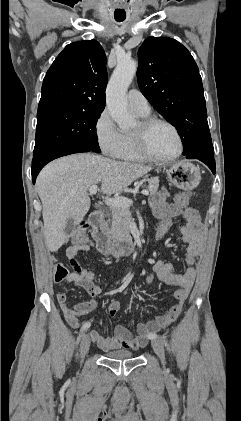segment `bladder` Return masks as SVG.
Returning a JSON list of instances; mask_svg holds the SVG:
<instances>
[{
    "mask_svg": "<svg viewBox=\"0 0 241 421\" xmlns=\"http://www.w3.org/2000/svg\"><path fill=\"white\" fill-rule=\"evenodd\" d=\"M105 356L109 359H114V360H126V359L133 358L134 353L127 350H117V351L107 352Z\"/></svg>",
    "mask_w": 241,
    "mask_h": 421,
    "instance_id": "1",
    "label": "bladder"
}]
</instances>
